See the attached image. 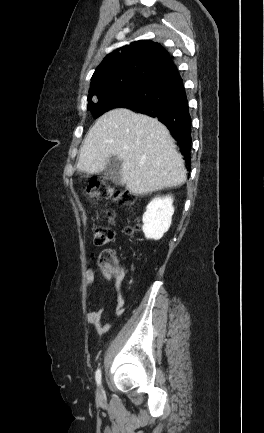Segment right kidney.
<instances>
[{"mask_svg": "<svg viewBox=\"0 0 264 433\" xmlns=\"http://www.w3.org/2000/svg\"><path fill=\"white\" fill-rule=\"evenodd\" d=\"M172 204L173 198L168 195L156 197L147 205L142 226L147 239L159 240L169 230L174 214Z\"/></svg>", "mask_w": 264, "mask_h": 433, "instance_id": "right-kidney-1", "label": "right kidney"}]
</instances>
